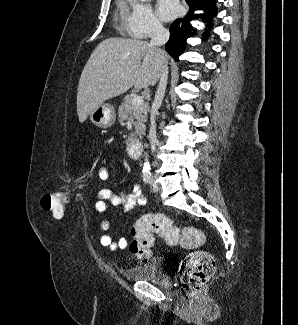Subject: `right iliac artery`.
Here are the masks:
<instances>
[{"instance_id": "obj_1", "label": "right iliac artery", "mask_w": 298, "mask_h": 325, "mask_svg": "<svg viewBox=\"0 0 298 325\" xmlns=\"http://www.w3.org/2000/svg\"><path fill=\"white\" fill-rule=\"evenodd\" d=\"M143 181L148 184L151 181V173L150 172H144L143 173Z\"/></svg>"}]
</instances>
